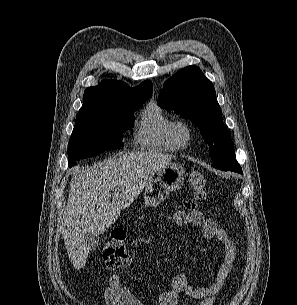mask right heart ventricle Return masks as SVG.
<instances>
[{"mask_svg":"<svg viewBox=\"0 0 297 305\" xmlns=\"http://www.w3.org/2000/svg\"><path fill=\"white\" fill-rule=\"evenodd\" d=\"M175 120L159 105L150 103L140 116L135 141L140 148L176 151L180 147L172 135V126Z\"/></svg>","mask_w":297,"mask_h":305,"instance_id":"right-heart-ventricle-1","label":"right heart ventricle"}]
</instances>
